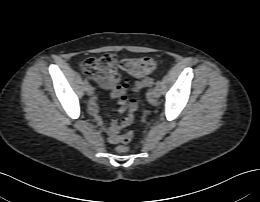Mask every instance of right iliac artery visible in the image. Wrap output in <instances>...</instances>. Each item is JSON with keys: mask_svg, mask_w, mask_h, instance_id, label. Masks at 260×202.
Wrapping results in <instances>:
<instances>
[{"mask_svg": "<svg viewBox=\"0 0 260 202\" xmlns=\"http://www.w3.org/2000/svg\"><path fill=\"white\" fill-rule=\"evenodd\" d=\"M84 84H85V86H88V85H89V83H88L87 80L84 81Z\"/></svg>", "mask_w": 260, "mask_h": 202, "instance_id": "obj_1", "label": "right iliac artery"}]
</instances>
